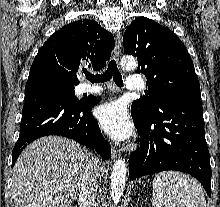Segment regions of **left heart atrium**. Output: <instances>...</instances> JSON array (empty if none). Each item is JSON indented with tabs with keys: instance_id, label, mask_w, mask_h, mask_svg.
<instances>
[{
	"instance_id": "obj_1",
	"label": "left heart atrium",
	"mask_w": 220,
	"mask_h": 207,
	"mask_svg": "<svg viewBox=\"0 0 220 207\" xmlns=\"http://www.w3.org/2000/svg\"><path fill=\"white\" fill-rule=\"evenodd\" d=\"M101 128L113 139L124 141L133 132L126 107L121 102H110L101 105L96 112Z\"/></svg>"
}]
</instances>
